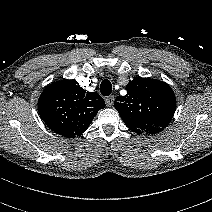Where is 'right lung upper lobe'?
<instances>
[{
	"mask_svg": "<svg viewBox=\"0 0 212 212\" xmlns=\"http://www.w3.org/2000/svg\"><path fill=\"white\" fill-rule=\"evenodd\" d=\"M105 101L96 92H86L75 80L48 85L38 100L41 119L49 129L67 138L82 135Z\"/></svg>",
	"mask_w": 212,
	"mask_h": 212,
	"instance_id": "obj_1",
	"label": "right lung upper lobe"
}]
</instances>
